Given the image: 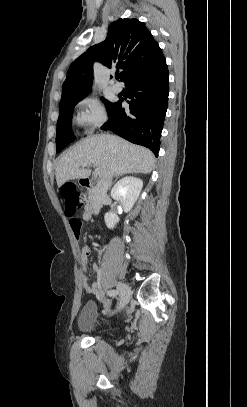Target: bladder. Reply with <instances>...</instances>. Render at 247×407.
<instances>
[{
  "label": "bladder",
  "instance_id": "bladder-1",
  "mask_svg": "<svg viewBox=\"0 0 247 407\" xmlns=\"http://www.w3.org/2000/svg\"><path fill=\"white\" fill-rule=\"evenodd\" d=\"M98 312V307L94 302H88L83 306L78 320V328L82 333L91 334L102 331L95 323Z\"/></svg>",
  "mask_w": 247,
  "mask_h": 407
}]
</instances>
